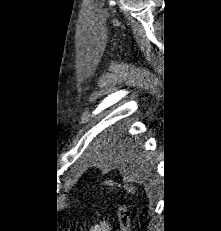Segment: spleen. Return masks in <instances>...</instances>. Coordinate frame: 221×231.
Here are the masks:
<instances>
[{
  "label": "spleen",
  "mask_w": 221,
  "mask_h": 231,
  "mask_svg": "<svg viewBox=\"0 0 221 231\" xmlns=\"http://www.w3.org/2000/svg\"><path fill=\"white\" fill-rule=\"evenodd\" d=\"M108 184L112 185V182H108ZM120 186V185H119ZM124 188L129 192V193H134V187H128L124 186Z\"/></svg>",
  "instance_id": "obj_1"
}]
</instances>
